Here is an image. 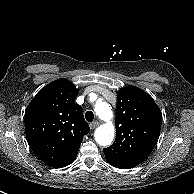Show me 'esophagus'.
Instances as JSON below:
<instances>
[{"instance_id": "esophagus-1", "label": "esophagus", "mask_w": 194, "mask_h": 194, "mask_svg": "<svg viewBox=\"0 0 194 194\" xmlns=\"http://www.w3.org/2000/svg\"><path fill=\"white\" fill-rule=\"evenodd\" d=\"M98 125H99V122L98 121H94V122L90 123V128L92 130H94Z\"/></svg>"}]
</instances>
